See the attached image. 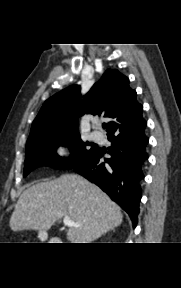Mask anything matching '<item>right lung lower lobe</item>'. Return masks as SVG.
<instances>
[{
    "label": "right lung lower lobe",
    "instance_id": "1",
    "mask_svg": "<svg viewBox=\"0 0 181 288\" xmlns=\"http://www.w3.org/2000/svg\"><path fill=\"white\" fill-rule=\"evenodd\" d=\"M144 128L108 136L111 158L105 159V162L100 161L104 152L96 148L90 157L72 168L98 185L120 205L130 216L134 227L138 222L143 166L148 159L146 146L149 139Z\"/></svg>",
    "mask_w": 181,
    "mask_h": 288
}]
</instances>
